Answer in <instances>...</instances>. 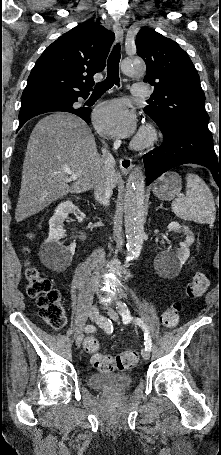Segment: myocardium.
<instances>
[{"label": "myocardium", "mask_w": 221, "mask_h": 455, "mask_svg": "<svg viewBox=\"0 0 221 455\" xmlns=\"http://www.w3.org/2000/svg\"><path fill=\"white\" fill-rule=\"evenodd\" d=\"M159 139L157 129L150 125H144L132 142L134 149H145L153 146Z\"/></svg>", "instance_id": "myocardium-1"}]
</instances>
